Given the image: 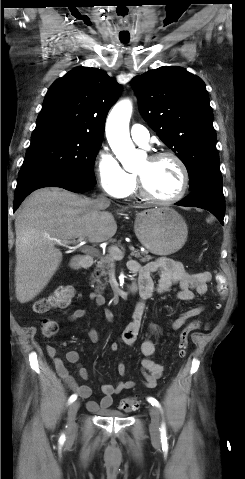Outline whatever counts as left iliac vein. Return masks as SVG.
<instances>
[{"mask_svg":"<svg viewBox=\"0 0 245 479\" xmlns=\"http://www.w3.org/2000/svg\"><path fill=\"white\" fill-rule=\"evenodd\" d=\"M149 414L151 418L150 433L157 438L160 431V413L156 407L149 406Z\"/></svg>","mask_w":245,"mask_h":479,"instance_id":"4c4485c4","label":"left iliac vein"}]
</instances>
